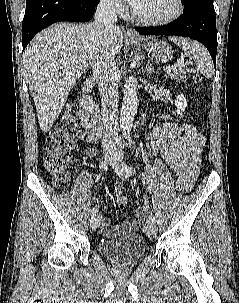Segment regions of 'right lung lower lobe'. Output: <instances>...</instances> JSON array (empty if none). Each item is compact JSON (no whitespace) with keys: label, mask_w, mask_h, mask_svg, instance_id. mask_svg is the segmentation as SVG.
Masks as SVG:
<instances>
[{"label":"right lung lower lobe","mask_w":239,"mask_h":303,"mask_svg":"<svg viewBox=\"0 0 239 303\" xmlns=\"http://www.w3.org/2000/svg\"><path fill=\"white\" fill-rule=\"evenodd\" d=\"M99 0H26L22 22L23 49L42 29L59 21H89Z\"/></svg>","instance_id":"obj_1"}]
</instances>
